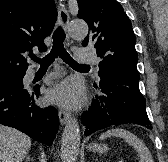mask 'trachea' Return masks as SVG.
I'll use <instances>...</instances> for the list:
<instances>
[{
  "label": "trachea",
  "instance_id": "obj_1",
  "mask_svg": "<svg viewBox=\"0 0 168 162\" xmlns=\"http://www.w3.org/2000/svg\"><path fill=\"white\" fill-rule=\"evenodd\" d=\"M65 33L61 27H58L53 34V46L48 55L43 59L36 56H30V58L38 62L41 67H48L58 56L72 68L90 67L86 64H78L64 48Z\"/></svg>",
  "mask_w": 168,
  "mask_h": 162
}]
</instances>
